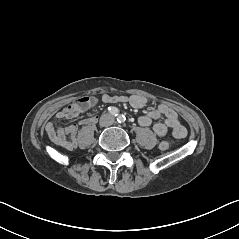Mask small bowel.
Listing matches in <instances>:
<instances>
[{
  "label": "small bowel",
  "instance_id": "c3829d8e",
  "mask_svg": "<svg viewBox=\"0 0 239 239\" xmlns=\"http://www.w3.org/2000/svg\"><path fill=\"white\" fill-rule=\"evenodd\" d=\"M101 100L104 103L113 104V103H128L134 108H143L146 106L149 101L147 98L140 95H131V96H118L104 94L100 99H93L91 102H88L85 106H78L77 103L70 104L66 106L63 110L58 112L54 119L51 120L46 125V134L49 139L67 149L72 150L77 147V132L78 127L75 124L63 127L57 124V122L62 120H73L78 117L86 108L91 104ZM164 118L162 122H157L153 126V131L156 135L163 137L165 136L169 129L172 130V135L174 139H183L187 135V130L184 125L181 123L178 114L175 110L169 107L166 104H159L154 110L144 113L138 117V122L142 126H149L153 121ZM94 122L93 118L85 119L83 124H91Z\"/></svg>",
  "mask_w": 239,
  "mask_h": 239
}]
</instances>
